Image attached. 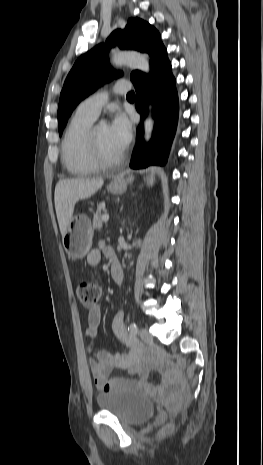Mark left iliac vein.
I'll return each instance as SVG.
<instances>
[{
	"label": "left iliac vein",
	"mask_w": 263,
	"mask_h": 465,
	"mask_svg": "<svg viewBox=\"0 0 263 465\" xmlns=\"http://www.w3.org/2000/svg\"><path fill=\"white\" fill-rule=\"evenodd\" d=\"M140 337L141 339L146 342V343H152L153 342V336L152 334L149 332V330L147 328H141L140 329Z\"/></svg>",
	"instance_id": "obj_1"
}]
</instances>
